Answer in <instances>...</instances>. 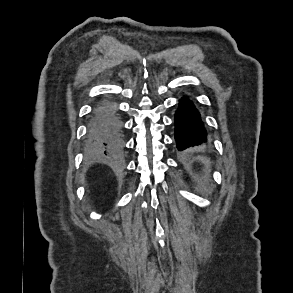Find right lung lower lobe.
<instances>
[{
  "instance_id": "1",
  "label": "right lung lower lobe",
  "mask_w": 293,
  "mask_h": 293,
  "mask_svg": "<svg viewBox=\"0 0 293 293\" xmlns=\"http://www.w3.org/2000/svg\"><path fill=\"white\" fill-rule=\"evenodd\" d=\"M122 121L116 107L109 102L95 106L88 128V140L106 155L116 156L123 146Z\"/></svg>"
}]
</instances>
